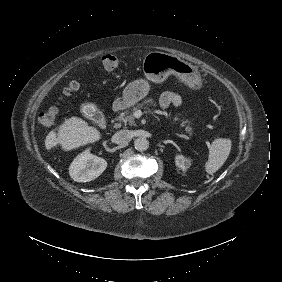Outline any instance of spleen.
<instances>
[{"label":"spleen","instance_id":"obj_1","mask_svg":"<svg viewBox=\"0 0 282 282\" xmlns=\"http://www.w3.org/2000/svg\"><path fill=\"white\" fill-rule=\"evenodd\" d=\"M231 140L225 138L216 139L211 147L208 161L205 165L208 174L215 173L227 160L231 151Z\"/></svg>","mask_w":282,"mask_h":282}]
</instances>
